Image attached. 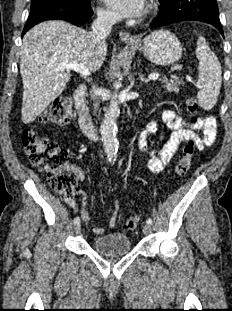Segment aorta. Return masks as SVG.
<instances>
[{
  "instance_id": "obj_1",
  "label": "aorta",
  "mask_w": 232,
  "mask_h": 311,
  "mask_svg": "<svg viewBox=\"0 0 232 311\" xmlns=\"http://www.w3.org/2000/svg\"><path fill=\"white\" fill-rule=\"evenodd\" d=\"M120 114L119 104L116 99L110 101L101 125V138L108 158H116L119 142L117 140L116 120Z\"/></svg>"
}]
</instances>
